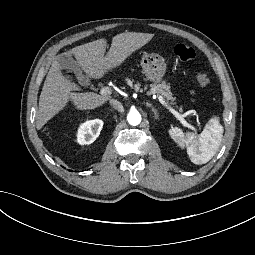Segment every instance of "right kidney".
I'll use <instances>...</instances> for the list:
<instances>
[{
	"label": "right kidney",
	"mask_w": 255,
	"mask_h": 255,
	"mask_svg": "<svg viewBox=\"0 0 255 255\" xmlns=\"http://www.w3.org/2000/svg\"><path fill=\"white\" fill-rule=\"evenodd\" d=\"M103 127L100 119L88 120L82 123L77 131V142L81 145L91 144L99 136Z\"/></svg>",
	"instance_id": "1"
}]
</instances>
